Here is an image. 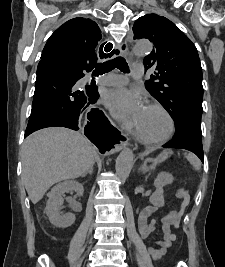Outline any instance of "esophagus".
<instances>
[{
    "instance_id": "esophagus-1",
    "label": "esophagus",
    "mask_w": 225,
    "mask_h": 267,
    "mask_svg": "<svg viewBox=\"0 0 225 267\" xmlns=\"http://www.w3.org/2000/svg\"><path fill=\"white\" fill-rule=\"evenodd\" d=\"M122 55L124 57H128V44L126 42L120 44L115 48L114 56ZM128 137L123 135L119 144L116 145V151H119L125 148L128 145Z\"/></svg>"
}]
</instances>
